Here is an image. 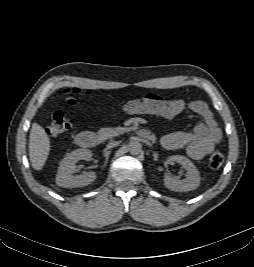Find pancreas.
Segmentation results:
<instances>
[{"label":"pancreas","instance_id":"pancreas-1","mask_svg":"<svg viewBox=\"0 0 254 267\" xmlns=\"http://www.w3.org/2000/svg\"><path fill=\"white\" fill-rule=\"evenodd\" d=\"M123 131H125L124 128L121 127H117V128H101L98 131V135L102 138V139H108V138H112L115 137L119 134H121Z\"/></svg>","mask_w":254,"mask_h":267}]
</instances>
